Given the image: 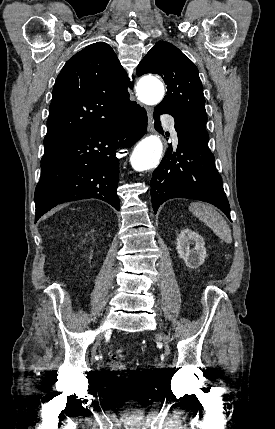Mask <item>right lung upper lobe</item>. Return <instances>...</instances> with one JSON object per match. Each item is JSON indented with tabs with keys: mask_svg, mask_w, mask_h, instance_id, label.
Here are the masks:
<instances>
[{
	"mask_svg": "<svg viewBox=\"0 0 275 429\" xmlns=\"http://www.w3.org/2000/svg\"><path fill=\"white\" fill-rule=\"evenodd\" d=\"M132 86L107 43H93L75 54L53 87L44 146L123 117L135 103L129 100Z\"/></svg>",
	"mask_w": 275,
	"mask_h": 429,
	"instance_id": "right-lung-upper-lobe-1",
	"label": "right lung upper lobe"
}]
</instances>
